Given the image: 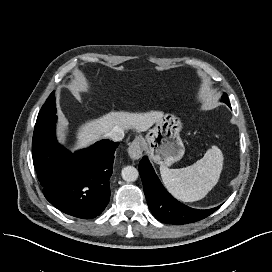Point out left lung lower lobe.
Wrapping results in <instances>:
<instances>
[{"instance_id":"0a47b994","label":"left lung lower lobe","mask_w":272,"mask_h":272,"mask_svg":"<svg viewBox=\"0 0 272 272\" xmlns=\"http://www.w3.org/2000/svg\"><path fill=\"white\" fill-rule=\"evenodd\" d=\"M139 173L148 206L155 218L163 223L180 225L196 222L219 208L218 206L208 210H197L174 199L159 181L146 156L139 163Z\"/></svg>"}]
</instances>
